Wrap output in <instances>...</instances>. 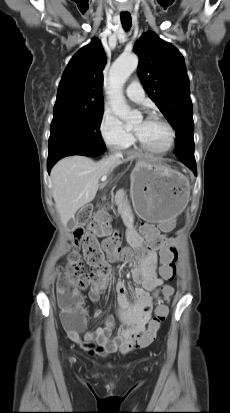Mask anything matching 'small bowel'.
<instances>
[{
	"mask_svg": "<svg viewBox=\"0 0 230 413\" xmlns=\"http://www.w3.org/2000/svg\"><path fill=\"white\" fill-rule=\"evenodd\" d=\"M146 225L142 227L143 236L139 235L134 230L128 231V240L131 246L137 250H144L151 246L154 239L161 237L158 231H175L176 224L172 218H163L162 222H158V231L150 225L146 220ZM120 257L118 255H109V262H115ZM157 259L153 250L148 251L146 256L140 259V264L134 267L131 271L133 281L138 285L133 290V299L130 300L126 294V284L118 282L116 284L117 302H118V317L121 321V327L112 337V332L115 327V320L112 316L103 318L104 325L98 327L94 331H88L81 337V331L87 321V312L83 309V299L80 293L74 290V294L78 297V309L81 313L79 322L72 319V313L63 311L61 319L69 338L78 344L83 350L99 356H106L116 351H126V346L135 338L139 337L146 331V325L150 319L153 309V300L159 294L163 297H171L174 293V288L165 284V278L157 275ZM111 271L103 278V283L99 286L91 285L88 292V298L95 303L99 300L100 291L104 290L108 284ZM94 318H102V313L96 311Z\"/></svg>",
	"mask_w": 230,
	"mask_h": 413,
	"instance_id": "c3829d8e",
	"label": "small bowel"
}]
</instances>
